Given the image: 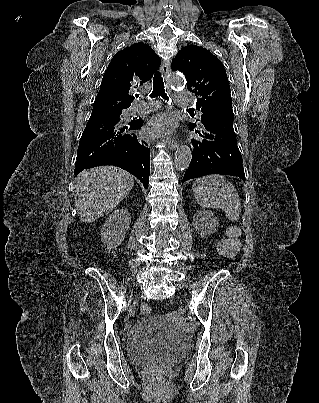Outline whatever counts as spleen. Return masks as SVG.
Returning <instances> with one entry per match:
<instances>
[{
  "instance_id": "obj_1",
  "label": "spleen",
  "mask_w": 319,
  "mask_h": 403,
  "mask_svg": "<svg viewBox=\"0 0 319 403\" xmlns=\"http://www.w3.org/2000/svg\"><path fill=\"white\" fill-rule=\"evenodd\" d=\"M198 204L204 208H221L227 218L236 222L241 212L239 194L234 185L221 175H207L193 183Z\"/></svg>"
}]
</instances>
